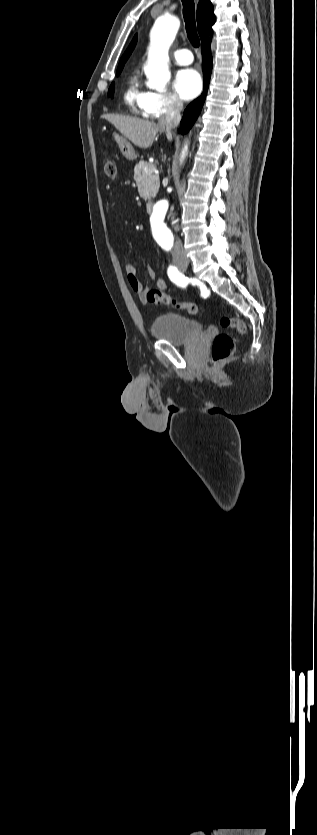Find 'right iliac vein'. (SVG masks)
I'll return each mask as SVG.
<instances>
[{
	"instance_id": "right-iliac-vein-1",
	"label": "right iliac vein",
	"mask_w": 317,
	"mask_h": 835,
	"mask_svg": "<svg viewBox=\"0 0 317 835\" xmlns=\"http://www.w3.org/2000/svg\"><path fill=\"white\" fill-rule=\"evenodd\" d=\"M175 263L179 268H186L189 264V261L185 258H181V259L176 260Z\"/></svg>"
}]
</instances>
